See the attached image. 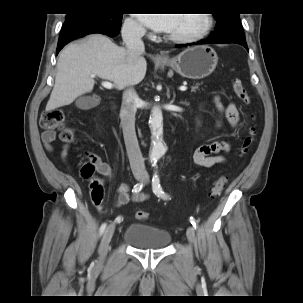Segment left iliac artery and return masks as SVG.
Here are the masks:
<instances>
[{"label": "left iliac artery", "instance_id": "left-iliac-artery-1", "mask_svg": "<svg viewBox=\"0 0 303 303\" xmlns=\"http://www.w3.org/2000/svg\"><path fill=\"white\" fill-rule=\"evenodd\" d=\"M152 187H153V192L158 196V197H162L164 199H167V195L163 192L162 187L160 185V178L158 175V172L155 171L154 175H153V179H152ZM190 223L195 227L198 228V223L195 220V218L190 217Z\"/></svg>", "mask_w": 303, "mask_h": 303}]
</instances>
